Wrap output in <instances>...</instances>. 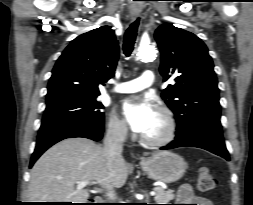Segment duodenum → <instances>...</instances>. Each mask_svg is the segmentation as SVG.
<instances>
[{
  "label": "duodenum",
  "mask_w": 253,
  "mask_h": 205,
  "mask_svg": "<svg viewBox=\"0 0 253 205\" xmlns=\"http://www.w3.org/2000/svg\"><path fill=\"white\" fill-rule=\"evenodd\" d=\"M93 201H95V202H101V199L100 198H95Z\"/></svg>",
  "instance_id": "1"
}]
</instances>
